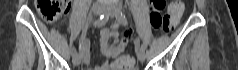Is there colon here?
Masks as SVG:
<instances>
[{"label": "colon", "instance_id": "5ec220e1", "mask_svg": "<svg viewBox=\"0 0 238 70\" xmlns=\"http://www.w3.org/2000/svg\"><path fill=\"white\" fill-rule=\"evenodd\" d=\"M165 6V0H151L150 22L155 29L170 32L177 26L184 6L182 1H172L169 4L168 12L162 15L161 11ZM36 8L44 20L52 22L67 13L69 3L67 0H37ZM130 38H132V33L127 31L123 33L120 41L122 48L126 47ZM134 66L135 61L133 57L124 54H121L113 63L114 70H134Z\"/></svg>", "mask_w": 238, "mask_h": 70}]
</instances>
